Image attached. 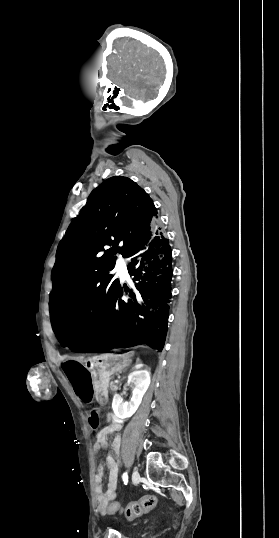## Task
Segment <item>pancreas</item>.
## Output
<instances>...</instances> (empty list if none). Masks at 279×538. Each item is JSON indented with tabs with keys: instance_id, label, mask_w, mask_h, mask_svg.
<instances>
[{
	"instance_id": "obj_1",
	"label": "pancreas",
	"mask_w": 279,
	"mask_h": 538,
	"mask_svg": "<svg viewBox=\"0 0 279 538\" xmlns=\"http://www.w3.org/2000/svg\"><path fill=\"white\" fill-rule=\"evenodd\" d=\"M110 384L112 385V387H113L114 389H118V388L120 387V384H119V383L117 382V380H115V379H112V380L110 381Z\"/></svg>"
}]
</instances>
